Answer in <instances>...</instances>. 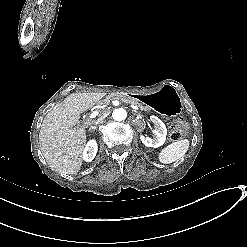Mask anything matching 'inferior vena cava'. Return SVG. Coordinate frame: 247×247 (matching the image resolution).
Wrapping results in <instances>:
<instances>
[{"instance_id":"obj_1","label":"inferior vena cava","mask_w":247,"mask_h":247,"mask_svg":"<svg viewBox=\"0 0 247 247\" xmlns=\"http://www.w3.org/2000/svg\"><path fill=\"white\" fill-rule=\"evenodd\" d=\"M105 116H101L97 121L94 123L95 125H98L99 123L103 122ZM91 128H96V126H92Z\"/></svg>"}]
</instances>
